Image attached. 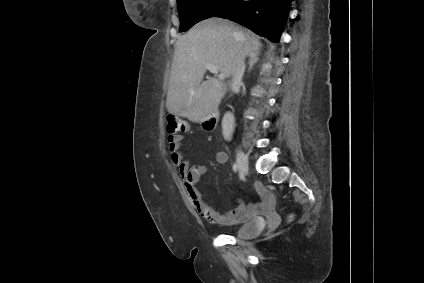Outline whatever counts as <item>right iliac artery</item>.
I'll return each mask as SVG.
<instances>
[{"label": "right iliac artery", "mask_w": 424, "mask_h": 283, "mask_svg": "<svg viewBox=\"0 0 424 283\" xmlns=\"http://www.w3.org/2000/svg\"><path fill=\"white\" fill-rule=\"evenodd\" d=\"M237 169H238L237 164H236V163H235V164H233V170L236 172V171H237Z\"/></svg>", "instance_id": "82829eb1"}]
</instances>
